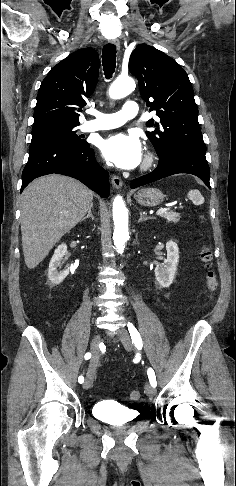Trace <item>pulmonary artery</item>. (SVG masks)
I'll use <instances>...</instances> for the list:
<instances>
[{
  "instance_id": "obj_1",
  "label": "pulmonary artery",
  "mask_w": 236,
  "mask_h": 486,
  "mask_svg": "<svg viewBox=\"0 0 236 486\" xmlns=\"http://www.w3.org/2000/svg\"><path fill=\"white\" fill-rule=\"evenodd\" d=\"M95 118L85 121L80 126L83 132H93L119 127L138 114V105L134 101H126L122 109L116 113L106 114L96 110L90 112Z\"/></svg>"
}]
</instances>
